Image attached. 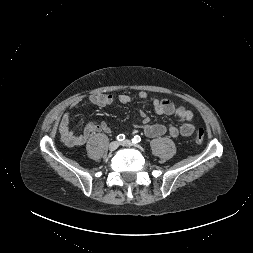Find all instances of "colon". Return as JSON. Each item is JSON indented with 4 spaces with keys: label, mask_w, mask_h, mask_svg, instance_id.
<instances>
[{
    "label": "colon",
    "mask_w": 253,
    "mask_h": 253,
    "mask_svg": "<svg viewBox=\"0 0 253 253\" xmlns=\"http://www.w3.org/2000/svg\"><path fill=\"white\" fill-rule=\"evenodd\" d=\"M205 131L203 128L198 129L196 135H195V141L197 143H201L204 140Z\"/></svg>",
    "instance_id": "obj_1"
}]
</instances>
